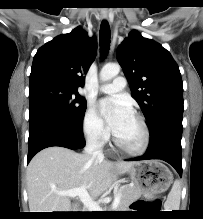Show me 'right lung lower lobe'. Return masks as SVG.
<instances>
[{
	"instance_id": "98d812e1",
	"label": "right lung lower lobe",
	"mask_w": 203,
	"mask_h": 219,
	"mask_svg": "<svg viewBox=\"0 0 203 219\" xmlns=\"http://www.w3.org/2000/svg\"><path fill=\"white\" fill-rule=\"evenodd\" d=\"M84 144L82 121L71 123L41 110L29 111L27 163L44 148L61 146L75 150Z\"/></svg>"
}]
</instances>
